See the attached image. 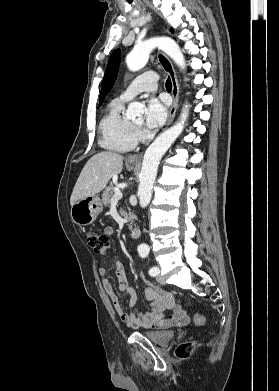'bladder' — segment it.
I'll list each match as a JSON object with an SVG mask.
<instances>
[{"label":"bladder","instance_id":"31cf9c89","mask_svg":"<svg viewBox=\"0 0 279 391\" xmlns=\"http://www.w3.org/2000/svg\"><path fill=\"white\" fill-rule=\"evenodd\" d=\"M175 331H149L145 332V336L153 343L157 345H166L170 343L175 337Z\"/></svg>","mask_w":279,"mask_h":391}]
</instances>
